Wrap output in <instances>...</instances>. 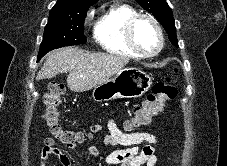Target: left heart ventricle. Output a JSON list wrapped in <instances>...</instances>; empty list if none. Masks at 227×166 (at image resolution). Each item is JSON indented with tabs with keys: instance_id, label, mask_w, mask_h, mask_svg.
I'll return each instance as SVG.
<instances>
[{
	"instance_id": "1",
	"label": "left heart ventricle",
	"mask_w": 227,
	"mask_h": 166,
	"mask_svg": "<svg viewBox=\"0 0 227 166\" xmlns=\"http://www.w3.org/2000/svg\"><path fill=\"white\" fill-rule=\"evenodd\" d=\"M134 34L138 46L144 52H152L157 48L159 42L158 34L150 21L146 19L140 20L135 26Z\"/></svg>"
}]
</instances>
